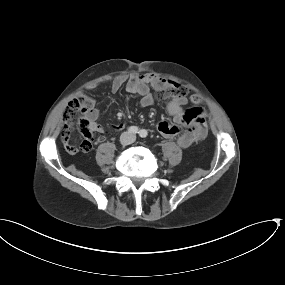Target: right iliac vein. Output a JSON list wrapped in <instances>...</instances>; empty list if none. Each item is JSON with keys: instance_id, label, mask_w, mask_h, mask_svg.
Returning a JSON list of instances; mask_svg holds the SVG:
<instances>
[{"instance_id": "obj_1", "label": "right iliac vein", "mask_w": 285, "mask_h": 285, "mask_svg": "<svg viewBox=\"0 0 285 285\" xmlns=\"http://www.w3.org/2000/svg\"><path fill=\"white\" fill-rule=\"evenodd\" d=\"M129 136L126 135L124 138L121 139V143L122 144H126L127 143V140H128Z\"/></svg>"}]
</instances>
